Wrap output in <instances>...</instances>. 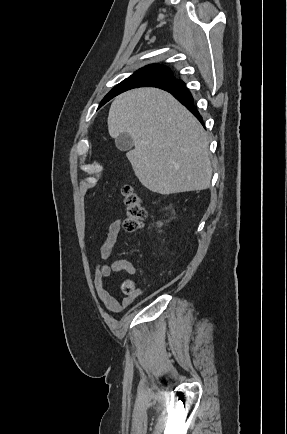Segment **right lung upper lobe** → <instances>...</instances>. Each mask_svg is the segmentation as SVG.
<instances>
[{"instance_id": "right-lung-upper-lobe-1", "label": "right lung upper lobe", "mask_w": 287, "mask_h": 434, "mask_svg": "<svg viewBox=\"0 0 287 434\" xmlns=\"http://www.w3.org/2000/svg\"><path fill=\"white\" fill-rule=\"evenodd\" d=\"M144 68L165 70V71H168V72H170L172 74V71L169 68H167L165 66H162V65H156V64L155 65H148V66H146ZM175 81H179V80H176V78H173L172 80H169V81H166V82H163V83L152 84V85H149V86H153V87H158L159 88V87H164V86H166V85H168L170 83H173Z\"/></svg>"}]
</instances>
